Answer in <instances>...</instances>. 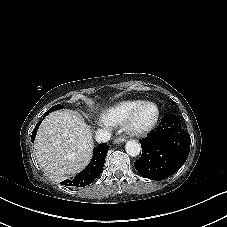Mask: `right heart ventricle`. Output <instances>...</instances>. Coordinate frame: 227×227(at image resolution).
I'll return each mask as SVG.
<instances>
[{
  "mask_svg": "<svg viewBox=\"0 0 227 227\" xmlns=\"http://www.w3.org/2000/svg\"><path fill=\"white\" fill-rule=\"evenodd\" d=\"M142 102V100H127L114 104L102 111L98 116L100 124H119Z\"/></svg>",
  "mask_w": 227,
  "mask_h": 227,
  "instance_id": "obj_1",
  "label": "right heart ventricle"
}]
</instances>
